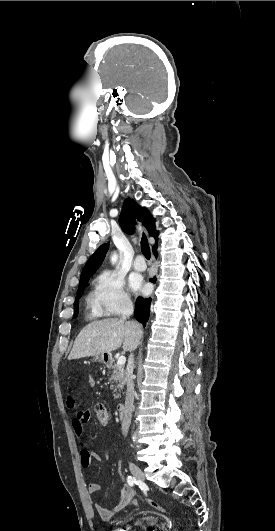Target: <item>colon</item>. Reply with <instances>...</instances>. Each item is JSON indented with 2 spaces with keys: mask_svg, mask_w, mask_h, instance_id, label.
<instances>
[{
  "mask_svg": "<svg viewBox=\"0 0 275 531\" xmlns=\"http://www.w3.org/2000/svg\"><path fill=\"white\" fill-rule=\"evenodd\" d=\"M96 416L98 418V421L103 424V425H107L109 423V414H108V410L107 408L102 405V404H98L96 406ZM149 502L153 505V506H158V503L155 502V501H152V500H149Z\"/></svg>",
  "mask_w": 275,
  "mask_h": 531,
  "instance_id": "1",
  "label": "colon"
}]
</instances>
